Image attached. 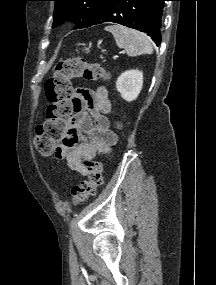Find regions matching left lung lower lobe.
Masks as SVG:
<instances>
[{"mask_svg": "<svg viewBox=\"0 0 216 285\" xmlns=\"http://www.w3.org/2000/svg\"><path fill=\"white\" fill-rule=\"evenodd\" d=\"M164 1L112 0L93 25L118 23L146 33L159 46Z\"/></svg>", "mask_w": 216, "mask_h": 285, "instance_id": "1", "label": "left lung lower lobe"}]
</instances>
